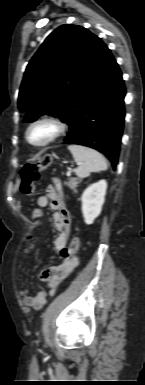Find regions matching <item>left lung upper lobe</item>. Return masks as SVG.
<instances>
[{
	"mask_svg": "<svg viewBox=\"0 0 145 385\" xmlns=\"http://www.w3.org/2000/svg\"><path fill=\"white\" fill-rule=\"evenodd\" d=\"M98 37L81 26L62 25L43 42L27 65L18 108L24 122L47 114L67 122Z\"/></svg>",
	"mask_w": 145,
	"mask_h": 385,
	"instance_id": "obj_1",
	"label": "left lung upper lobe"
}]
</instances>
